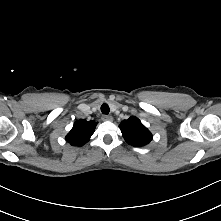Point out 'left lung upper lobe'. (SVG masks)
Returning <instances> with one entry per match:
<instances>
[{
  "mask_svg": "<svg viewBox=\"0 0 221 221\" xmlns=\"http://www.w3.org/2000/svg\"><path fill=\"white\" fill-rule=\"evenodd\" d=\"M119 128L125 141L130 145L141 147L152 140L150 131L134 116L122 121Z\"/></svg>",
  "mask_w": 221,
  "mask_h": 221,
  "instance_id": "1",
  "label": "left lung upper lobe"
}]
</instances>
